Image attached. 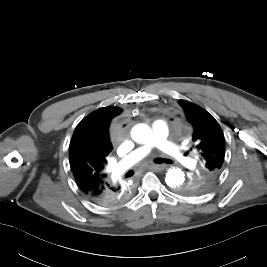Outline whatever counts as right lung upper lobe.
Returning a JSON list of instances; mask_svg holds the SVG:
<instances>
[{
  "label": "right lung upper lobe",
  "mask_w": 267,
  "mask_h": 267,
  "mask_svg": "<svg viewBox=\"0 0 267 267\" xmlns=\"http://www.w3.org/2000/svg\"><path fill=\"white\" fill-rule=\"evenodd\" d=\"M117 107H104L85 117L76 127L69 147V160L78 187L87 194L107 185L104 169L112 151L108 127L119 115Z\"/></svg>",
  "instance_id": "1"
}]
</instances>
